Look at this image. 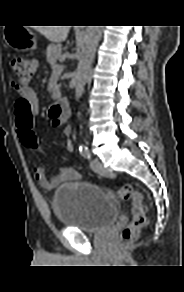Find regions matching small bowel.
<instances>
[{
    "label": "small bowel",
    "mask_w": 184,
    "mask_h": 292,
    "mask_svg": "<svg viewBox=\"0 0 184 292\" xmlns=\"http://www.w3.org/2000/svg\"><path fill=\"white\" fill-rule=\"evenodd\" d=\"M52 123H53V126L59 127L62 129V134L64 136L69 137L71 135V128L69 126H65L63 122H59L54 119ZM16 128H17V133L19 136V128L17 124H16ZM65 147L68 152L73 151V144L70 140L66 141ZM33 170H34V176L36 180L38 181V183L47 190H52L63 183L75 181L80 178V173L72 167H62L58 173L51 176H49L44 169L39 168L37 166H34Z\"/></svg>",
    "instance_id": "1"
}]
</instances>
